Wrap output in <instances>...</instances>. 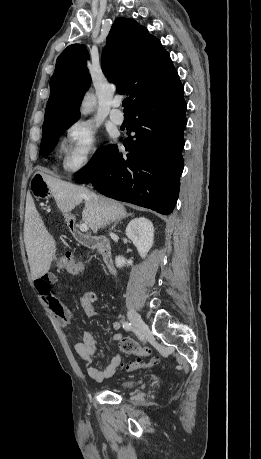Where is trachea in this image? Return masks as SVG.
<instances>
[{
  "instance_id": "obj_1",
  "label": "trachea",
  "mask_w": 261,
  "mask_h": 459,
  "mask_svg": "<svg viewBox=\"0 0 261 459\" xmlns=\"http://www.w3.org/2000/svg\"><path fill=\"white\" fill-rule=\"evenodd\" d=\"M122 106L124 107V111L129 110L128 98H125V99L123 100Z\"/></svg>"
}]
</instances>
